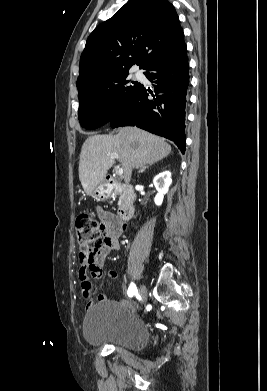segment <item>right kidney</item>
<instances>
[{
    "label": "right kidney",
    "instance_id": "right-kidney-1",
    "mask_svg": "<svg viewBox=\"0 0 267 391\" xmlns=\"http://www.w3.org/2000/svg\"><path fill=\"white\" fill-rule=\"evenodd\" d=\"M171 183L172 179L169 171L162 172L154 178L153 184L158 192L154 198V202L157 206L162 204L164 195L168 192Z\"/></svg>",
    "mask_w": 267,
    "mask_h": 391
}]
</instances>
